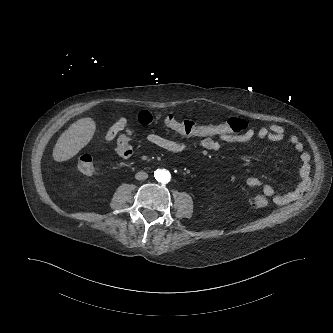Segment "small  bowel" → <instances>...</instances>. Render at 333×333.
Segmentation results:
<instances>
[{
	"label": "small bowel",
	"instance_id": "1",
	"mask_svg": "<svg viewBox=\"0 0 333 333\" xmlns=\"http://www.w3.org/2000/svg\"><path fill=\"white\" fill-rule=\"evenodd\" d=\"M138 121L142 125H150L154 121V114L150 110H142L138 114ZM245 122V121H244ZM180 134V133H179ZM254 136L259 140H272L282 141L285 139V128L282 125L272 123L268 126H262L257 130L247 128L243 133L232 132L229 135L213 136L209 138H201V140L194 144L180 142L171 136L149 133L145 139L148 143L172 153H183L192 148H200L207 151H217L221 148L223 143H246ZM133 137L131 129L127 128V121L125 118H120L108 130L105 135L107 141L116 139V153L124 158L130 157L133 153V147L130 140ZM289 141L295 151L299 154L300 160V181L295 190L283 194H278L276 189L269 184L262 182L259 178L250 176L246 179V185L251 188H259L266 197H272L277 204H287L294 202L300 198L303 193L304 186L308 179L310 171V155L304 151V145L296 135H292Z\"/></svg>",
	"mask_w": 333,
	"mask_h": 333
}]
</instances>
